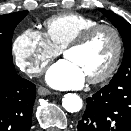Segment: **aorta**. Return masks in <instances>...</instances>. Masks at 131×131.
I'll return each mask as SVG.
<instances>
[{
	"instance_id": "1",
	"label": "aorta",
	"mask_w": 131,
	"mask_h": 131,
	"mask_svg": "<svg viewBox=\"0 0 131 131\" xmlns=\"http://www.w3.org/2000/svg\"><path fill=\"white\" fill-rule=\"evenodd\" d=\"M82 105V99L77 94L69 93L62 98V106L67 112H78L82 109Z\"/></svg>"
}]
</instances>
